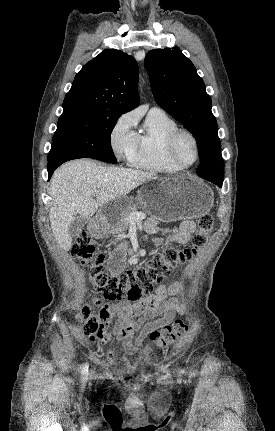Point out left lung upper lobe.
<instances>
[{
	"mask_svg": "<svg viewBox=\"0 0 275 431\" xmlns=\"http://www.w3.org/2000/svg\"><path fill=\"white\" fill-rule=\"evenodd\" d=\"M145 66L155 101L196 139L201 162L197 174L223 177L221 143L211 111L212 101L192 62L174 47L150 51Z\"/></svg>",
	"mask_w": 275,
	"mask_h": 431,
	"instance_id": "obj_1",
	"label": "left lung upper lobe"
}]
</instances>
